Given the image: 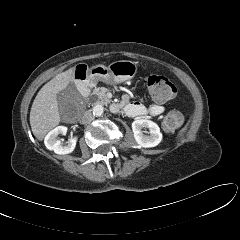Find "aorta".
<instances>
[{
	"instance_id": "aorta-1",
	"label": "aorta",
	"mask_w": 240,
	"mask_h": 240,
	"mask_svg": "<svg viewBox=\"0 0 240 240\" xmlns=\"http://www.w3.org/2000/svg\"><path fill=\"white\" fill-rule=\"evenodd\" d=\"M103 112H104V107L102 105L97 104L93 107V114L95 116H97V117L101 116L103 114Z\"/></svg>"
}]
</instances>
